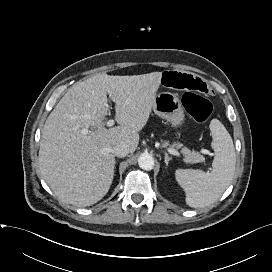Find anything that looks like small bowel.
Instances as JSON below:
<instances>
[{"mask_svg":"<svg viewBox=\"0 0 272 272\" xmlns=\"http://www.w3.org/2000/svg\"><path fill=\"white\" fill-rule=\"evenodd\" d=\"M161 80L164 86L171 89L196 94H209L211 92V88L200 77L184 72L166 71L163 73Z\"/></svg>","mask_w":272,"mask_h":272,"instance_id":"small-bowel-1","label":"small bowel"}]
</instances>
